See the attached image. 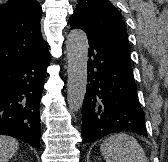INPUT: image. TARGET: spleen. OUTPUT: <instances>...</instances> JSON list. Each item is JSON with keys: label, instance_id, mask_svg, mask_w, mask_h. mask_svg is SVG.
<instances>
[{"label": "spleen", "instance_id": "1", "mask_svg": "<svg viewBox=\"0 0 168 162\" xmlns=\"http://www.w3.org/2000/svg\"><path fill=\"white\" fill-rule=\"evenodd\" d=\"M100 150L106 162H149L138 141L126 133L107 137Z\"/></svg>", "mask_w": 168, "mask_h": 162}]
</instances>
